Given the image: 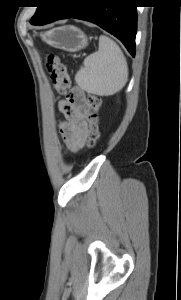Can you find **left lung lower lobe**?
<instances>
[{
	"instance_id": "obj_1",
	"label": "left lung lower lobe",
	"mask_w": 181,
	"mask_h": 300,
	"mask_svg": "<svg viewBox=\"0 0 181 300\" xmlns=\"http://www.w3.org/2000/svg\"><path fill=\"white\" fill-rule=\"evenodd\" d=\"M132 0H56V3L39 24L76 18L97 24L117 37L135 56L137 30L136 5Z\"/></svg>"
}]
</instances>
